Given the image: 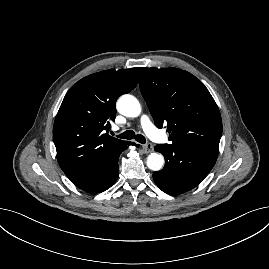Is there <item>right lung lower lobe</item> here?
I'll list each match as a JSON object with an SVG mask.
<instances>
[{
  "label": "right lung lower lobe",
  "mask_w": 269,
  "mask_h": 269,
  "mask_svg": "<svg viewBox=\"0 0 269 269\" xmlns=\"http://www.w3.org/2000/svg\"><path fill=\"white\" fill-rule=\"evenodd\" d=\"M130 144L135 143L129 142L127 145ZM127 145L103 160L81 179L73 181V183L78 188L89 193H99L107 190L115 183L119 176L118 159ZM136 147H139V145H136Z\"/></svg>",
  "instance_id": "right-lung-lower-lobe-1"
}]
</instances>
